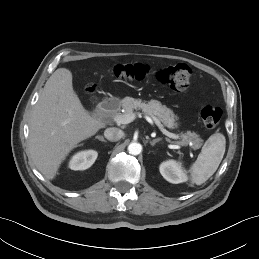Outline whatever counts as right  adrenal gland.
<instances>
[{
	"mask_svg": "<svg viewBox=\"0 0 259 259\" xmlns=\"http://www.w3.org/2000/svg\"><path fill=\"white\" fill-rule=\"evenodd\" d=\"M96 139H98L99 141H102V142H107L103 136H96Z\"/></svg>",
	"mask_w": 259,
	"mask_h": 259,
	"instance_id": "right-adrenal-gland-1",
	"label": "right adrenal gland"
}]
</instances>
